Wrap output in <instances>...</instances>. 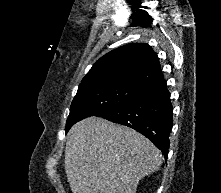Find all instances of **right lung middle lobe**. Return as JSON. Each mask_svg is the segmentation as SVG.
Here are the masks:
<instances>
[{"label":"right lung middle lobe","mask_w":221,"mask_h":193,"mask_svg":"<svg viewBox=\"0 0 221 193\" xmlns=\"http://www.w3.org/2000/svg\"><path fill=\"white\" fill-rule=\"evenodd\" d=\"M143 86L132 83H113L78 90L66 122V132L76 122L97 116L132 99Z\"/></svg>","instance_id":"right-lung-middle-lobe-1"}]
</instances>
